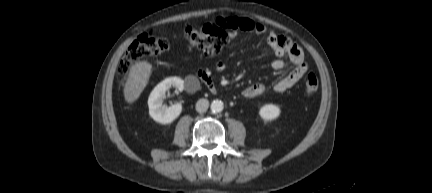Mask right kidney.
<instances>
[{
    "label": "right kidney",
    "instance_id": "obj_1",
    "mask_svg": "<svg viewBox=\"0 0 432 193\" xmlns=\"http://www.w3.org/2000/svg\"><path fill=\"white\" fill-rule=\"evenodd\" d=\"M171 87L179 91L184 89V81L179 77H170L160 82L151 92L148 98L149 115L160 124H170L179 117L182 112L180 103L170 107L163 105L165 93Z\"/></svg>",
    "mask_w": 432,
    "mask_h": 193
}]
</instances>
